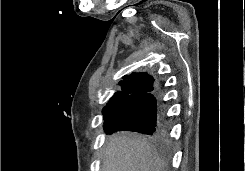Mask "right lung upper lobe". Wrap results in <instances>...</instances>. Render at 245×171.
<instances>
[{
    "instance_id": "cb5924a9",
    "label": "right lung upper lobe",
    "mask_w": 245,
    "mask_h": 171,
    "mask_svg": "<svg viewBox=\"0 0 245 171\" xmlns=\"http://www.w3.org/2000/svg\"><path fill=\"white\" fill-rule=\"evenodd\" d=\"M119 84L121 91L116 92L108 104L116 106L123 100L127 101L140 95L152 93L159 88V85L154 83V78L147 73H132L129 77L124 76Z\"/></svg>"
}]
</instances>
